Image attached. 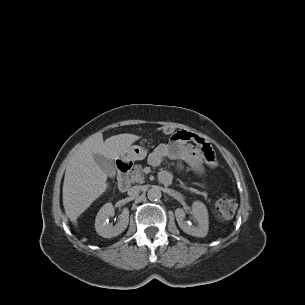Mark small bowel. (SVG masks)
<instances>
[{
  "instance_id": "1",
  "label": "small bowel",
  "mask_w": 305,
  "mask_h": 305,
  "mask_svg": "<svg viewBox=\"0 0 305 305\" xmlns=\"http://www.w3.org/2000/svg\"><path fill=\"white\" fill-rule=\"evenodd\" d=\"M165 159L178 162L179 166L185 163L190 170L198 175H203L207 168L216 166L214 152L208 142L201 136L189 132L179 131L168 143L157 146L149 155L152 166H160ZM159 177L172 179L169 170H162Z\"/></svg>"
}]
</instances>
